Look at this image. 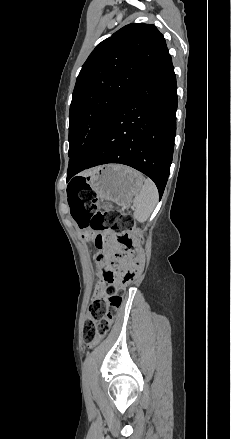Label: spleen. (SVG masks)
Instances as JSON below:
<instances>
[{"instance_id": "1", "label": "spleen", "mask_w": 231, "mask_h": 439, "mask_svg": "<svg viewBox=\"0 0 231 439\" xmlns=\"http://www.w3.org/2000/svg\"><path fill=\"white\" fill-rule=\"evenodd\" d=\"M158 201V190L151 179L144 180V185L133 200L135 206L134 218L138 222H145L153 212Z\"/></svg>"}]
</instances>
